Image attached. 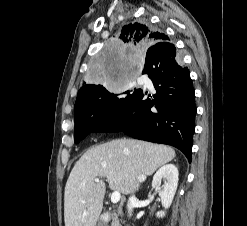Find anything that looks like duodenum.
Returning a JSON list of instances; mask_svg holds the SVG:
<instances>
[{
  "label": "duodenum",
  "instance_id": "duodenum-1",
  "mask_svg": "<svg viewBox=\"0 0 247 226\" xmlns=\"http://www.w3.org/2000/svg\"><path fill=\"white\" fill-rule=\"evenodd\" d=\"M110 216H111V213L105 214V219L108 220L110 218Z\"/></svg>",
  "mask_w": 247,
  "mask_h": 226
}]
</instances>
